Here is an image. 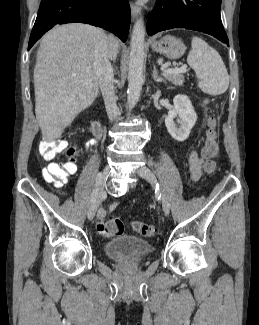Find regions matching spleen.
Segmentation results:
<instances>
[{
    "label": "spleen",
    "mask_w": 259,
    "mask_h": 325,
    "mask_svg": "<svg viewBox=\"0 0 259 325\" xmlns=\"http://www.w3.org/2000/svg\"><path fill=\"white\" fill-rule=\"evenodd\" d=\"M187 62L198 78V87L209 95H221L229 86V75L219 53L199 37H192Z\"/></svg>",
    "instance_id": "1"
}]
</instances>
